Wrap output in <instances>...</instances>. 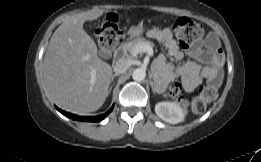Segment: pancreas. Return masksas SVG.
<instances>
[{
  "label": "pancreas",
  "instance_id": "pancreas-1",
  "mask_svg": "<svg viewBox=\"0 0 261 162\" xmlns=\"http://www.w3.org/2000/svg\"><path fill=\"white\" fill-rule=\"evenodd\" d=\"M138 44H149L150 46H153V44L146 40L145 38L143 37H138V38H135L133 39L132 41L130 42H127L123 47L122 49L124 50V52H128L130 54H132L133 50L135 49V47L138 45ZM133 55V54H132Z\"/></svg>",
  "mask_w": 261,
  "mask_h": 162
}]
</instances>
